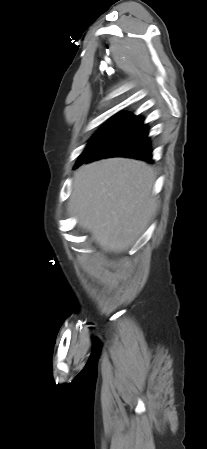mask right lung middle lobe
<instances>
[{"label":"right lung middle lobe","instance_id":"1","mask_svg":"<svg viewBox=\"0 0 207 449\" xmlns=\"http://www.w3.org/2000/svg\"><path fill=\"white\" fill-rule=\"evenodd\" d=\"M135 116L131 114H122L114 117L110 122L104 125L91 139L86 149L80 155L75 167L84 162L100 149L109 139L126 127Z\"/></svg>","mask_w":207,"mask_h":449}]
</instances>
